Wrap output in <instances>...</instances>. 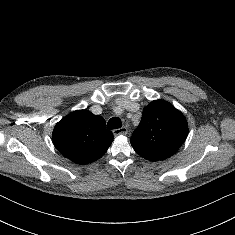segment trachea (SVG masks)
I'll return each mask as SVG.
<instances>
[{
    "label": "trachea",
    "instance_id": "3493384b",
    "mask_svg": "<svg viewBox=\"0 0 235 235\" xmlns=\"http://www.w3.org/2000/svg\"><path fill=\"white\" fill-rule=\"evenodd\" d=\"M121 126H122V123L118 117L111 118L107 123V128L111 130L121 128Z\"/></svg>",
    "mask_w": 235,
    "mask_h": 235
}]
</instances>
